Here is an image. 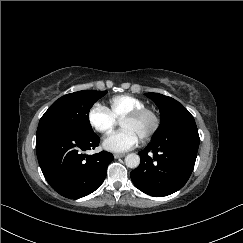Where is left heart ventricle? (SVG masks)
<instances>
[{
  "instance_id": "b2bd125f",
  "label": "left heart ventricle",
  "mask_w": 243,
  "mask_h": 243,
  "mask_svg": "<svg viewBox=\"0 0 243 243\" xmlns=\"http://www.w3.org/2000/svg\"><path fill=\"white\" fill-rule=\"evenodd\" d=\"M120 124L122 128L132 130L141 140L149 132L152 120L149 116H145L138 120H123Z\"/></svg>"
}]
</instances>
